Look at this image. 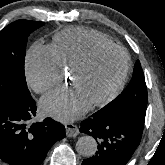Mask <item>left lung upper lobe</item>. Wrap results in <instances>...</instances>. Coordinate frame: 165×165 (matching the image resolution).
Segmentation results:
<instances>
[{"label":"left lung upper lobe","instance_id":"5c2ea615","mask_svg":"<svg viewBox=\"0 0 165 165\" xmlns=\"http://www.w3.org/2000/svg\"><path fill=\"white\" fill-rule=\"evenodd\" d=\"M147 87L139 60L136 61L133 77L122 93L105 107L93 114L102 119L145 121Z\"/></svg>","mask_w":165,"mask_h":165}]
</instances>
